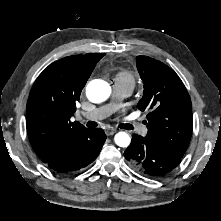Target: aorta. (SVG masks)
Instances as JSON below:
<instances>
[{
    "instance_id": "obj_1",
    "label": "aorta",
    "mask_w": 221,
    "mask_h": 221,
    "mask_svg": "<svg viewBox=\"0 0 221 221\" xmlns=\"http://www.w3.org/2000/svg\"><path fill=\"white\" fill-rule=\"evenodd\" d=\"M110 94L111 87L103 80H92L86 87L87 98L93 103L104 102L109 98ZM114 141L120 147H128L131 139L126 132H118L114 137Z\"/></svg>"
}]
</instances>
